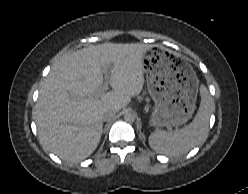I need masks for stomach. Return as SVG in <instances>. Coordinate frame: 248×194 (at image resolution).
Returning <instances> with one entry per match:
<instances>
[{
    "mask_svg": "<svg viewBox=\"0 0 248 194\" xmlns=\"http://www.w3.org/2000/svg\"><path fill=\"white\" fill-rule=\"evenodd\" d=\"M147 89L155 106L150 122L156 127L186 123L195 110L199 80L191 65L169 50L150 47L142 56Z\"/></svg>",
    "mask_w": 248,
    "mask_h": 194,
    "instance_id": "1",
    "label": "stomach"
}]
</instances>
